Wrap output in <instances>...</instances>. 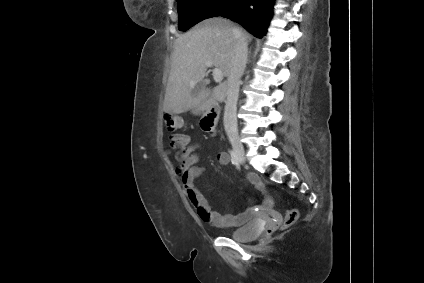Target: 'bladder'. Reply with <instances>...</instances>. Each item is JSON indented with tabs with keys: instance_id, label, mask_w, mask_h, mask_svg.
<instances>
[{
	"instance_id": "obj_1",
	"label": "bladder",
	"mask_w": 424,
	"mask_h": 283,
	"mask_svg": "<svg viewBox=\"0 0 424 283\" xmlns=\"http://www.w3.org/2000/svg\"><path fill=\"white\" fill-rule=\"evenodd\" d=\"M262 231V222L252 219L242 227L232 231L230 237L237 242H248L259 236Z\"/></svg>"
}]
</instances>
